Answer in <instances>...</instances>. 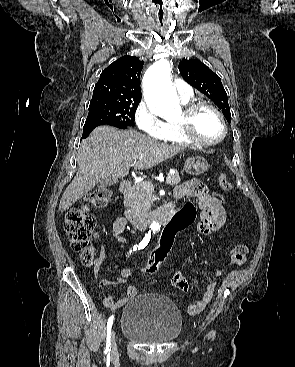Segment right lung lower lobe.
Returning <instances> with one entry per match:
<instances>
[{"instance_id":"right-lung-lower-lobe-1","label":"right lung lower lobe","mask_w":295,"mask_h":367,"mask_svg":"<svg viewBox=\"0 0 295 367\" xmlns=\"http://www.w3.org/2000/svg\"><path fill=\"white\" fill-rule=\"evenodd\" d=\"M122 129H125V128H128V126H123V127H121ZM91 132V131H90ZM90 132H88L87 133V135L86 136H84L83 138H86V137H88V135L90 134Z\"/></svg>"}]
</instances>
